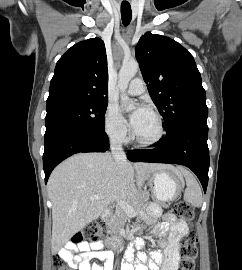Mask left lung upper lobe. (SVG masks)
<instances>
[{
    "label": "left lung upper lobe",
    "mask_w": 242,
    "mask_h": 270,
    "mask_svg": "<svg viewBox=\"0 0 242 270\" xmlns=\"http://www.w3.org/2000/svg\"><path fill=\"white\" fill-rule=\"evenodd\" d=\"M135 52L167 133L187 121L207 120L200 72L183 46L171 38L147 32L141 36Z\"/></svg>",
    "instance_id": "obj_1"
}]
</instances>
